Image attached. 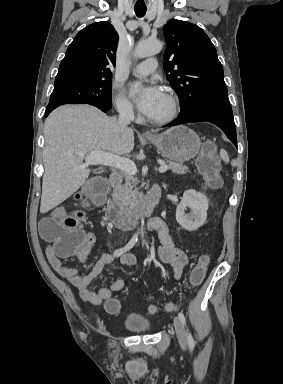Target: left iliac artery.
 <instances>
[{
	"mask_svg": "<svg viewBox=\"0 0 283 384\" xmlns=\"http://www.w3.org/2000/svg\"><path fill=\"white\" fill-rule=\"evenodd\" d=\"M178 317L181 320V322L185 325L186 324V319H185L184 314L182 312H179L178 313ZM187 341H188L189 347L191 349H193L194 346H195V341H194L192 335L190 334V332H188V330H187Z\"/></svg>",
	"mask_w": 283,
	"mask_h": 384,
	"instance_id": "left-iliac-artery-1",
	"label": "left iliac artery"
}]
</instances>
